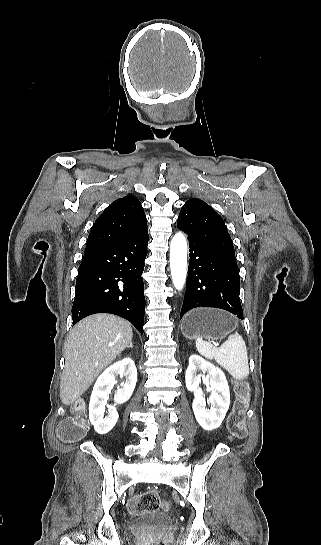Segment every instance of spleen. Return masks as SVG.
I'll use <instances>...</instances> for the list:
<instances>
[{
  "label": "spleen",
  "instance_id": "3e777b00",
  "mask_svg": "<svg viewBox=\"0 0 321 545\" xmlns=\"http://www.w3.org/2000/svg\"><path fill=\"white\" fill-rule=\"evenodd\" d=\"M196 347L200 355H203L205 359H215L216 363L226 369L236 381H244L248 377L247 347L238 333L229 335L221 347H213L211 343L203 341L202 337H197Z\"/></svg>",
  "mask_w": 321,
  "mask_h": 545
}]
</instances>
